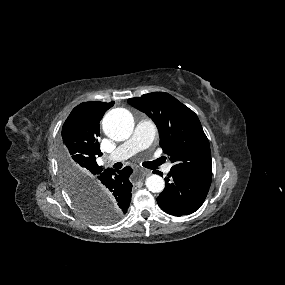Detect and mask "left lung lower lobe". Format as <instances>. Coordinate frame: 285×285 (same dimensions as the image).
Returning <instances> with one entry per match:
<instances>
[{
    "mask_svg": "<svg viewBox=\"0 0 285 285\" xmlns=\"http://www.w3.org/2000/svg\"><path fill=\"white\" fill-rule=\"evenodd\" d=\"M161 175V172L154 171ZM166 186L157 197L160 208L174 216L188 215L197 211L203 204L211 179L170 171L165 178Z\"/></svg>",
    "mask_w": 285,
    "mask_h": 285,
    "instance_id": "obj_1",
    "label": "left lung lower lobe"
}]
</instances>
